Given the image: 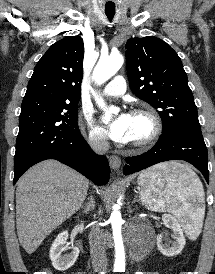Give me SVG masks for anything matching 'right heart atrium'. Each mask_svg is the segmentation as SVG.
<instances>
[{
    "mask_svg": "<svg viewBox=\"0 0 215 274\" xmlns=\"http://www.w3.org/2000/svg\"><path fill=\"white\" fill-rule=\"evenodd\" d=\"M81 130L85 133L88 144L96 151H103L108 147L105 131L94 124L89 115L84 116L80 123Z\"/></svg>",
    "mask_w": 215,
    "mask_h": 274,
    "instance_id": "d8ad5b80",
    "label": "right heart atrium"
}]
</instances>
